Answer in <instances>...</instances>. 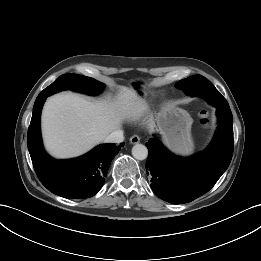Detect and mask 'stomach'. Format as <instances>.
Here are the masks:
<instances>
[{"label": "stomach", "mask_w": 261, "mask_h": 261, "mask_svg": "<svg viewBox=\"0 0 261 261\" xmlns=\"http://www.w3.org/2000/svg\"><path fill=\"white\" fill-rule=\"evenodd\" d=\"M148 84L143 81L134 83L136 93L145 94ZM157 126L164 143L172 151L188 155L194 149L191 138L193 119L190 114L172 103L165 104L156 117Z\"/></svg>", "instance_id": "stomach-1"}]
</instances>
